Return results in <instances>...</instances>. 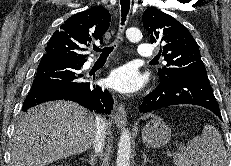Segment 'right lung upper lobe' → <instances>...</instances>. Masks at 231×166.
Listing matches in <instances>:
<instances>
[{"instance_id": "right-lung-upper-lobe-1", "label": "right lung upper lobe", "mask_w": 231, "mask_h": 166, "mask_svg": "<svg viewBox=\"0 0 231 166\" xmlns=\"http://www.w3.org/2000/svg\"><path fill=\"white\" fill-rule=\"evenodd\" d=\"M110 20V13L101 6L71 16L54 32L44 55L86 61L85 47L90 45L92 39L103 42L102 35L109 28Z\"/></svg>"}]
</instances>
